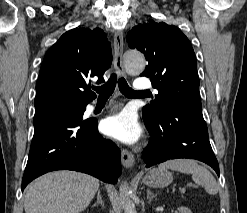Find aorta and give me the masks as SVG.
I'll return each instance as SVG.
<instances>
[{
	"label": "aorta",
	"instance_id": "1",
	"mask_svg": "<svg viewBox=\"0 0 247 213\" xmlns=\"http://www.w3.org/2000/svg\"><path fill=\"white\" fill-rule=\"evenodd\" d=\"M124 63L127 73L132 75H139L145 68V58L142 53L136 50L125 52ZM120 192L126 196L128 192L126 183L120 187ZM124 213H137L134 204L130 200L125 203Z\"/></svg>",
	"mask_w": 247,
	"mask_h": 213
}]
</instances>
